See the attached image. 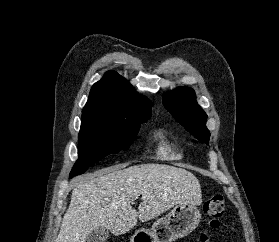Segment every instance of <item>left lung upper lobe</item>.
Instances as JSON below:
<instances>
[{
    "instance_id": "5c2ea615",
    "label": "left lung upper lobe",
    "mask_w": 279,
    "mask_h": 242,
    "mask_svg": "<svg viewBox=\"0 0 279 242\" xmlns=\"http://www.w3.org/2000/svg\"><path fill=\"white\" fill-rule=\"evenodd\" d=\"M163 104L172 116L198 140L208 143L207 115L196 102L191 88L179 87L164 94Z\"/></svg>"
}]
</instances>
